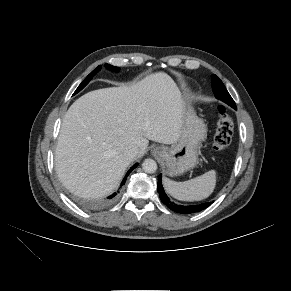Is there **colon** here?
<instances>
[{
	"label": "colon",
	"instance_id": "5ec220e1",
	"mask_svg": "<svg viewBox=\"0 0 291 291\" xmlns=\"http://www.w3.org/2000/svg\"><path fill=\"white\" fill-rule=\"evenodd\" d=\"M219 120L213 137L212 147L216 151L225 150L231 143L233 120L224 106L218 107Z\"/></svg>",
	"mask_w": 291,
	"mask_h": 291
}]
</instances>
